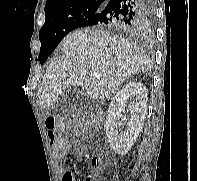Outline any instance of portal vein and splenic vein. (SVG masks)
Listing matches in <instances>:
<instances>
[{
	"mask_svg": "<svg viewBox=\"0 0 197 181\" xmlns=\"http://www.w3.org/2000/svg\"><path fill=\"white\" fill-rule=\"evenodd\" d=\"M82 74L83 75H90V76H92L93 78H95V77H99V74L98 73H90V72H87V71H84V72H82Z\"/></svg>",
	"mask_w": 197,
	"mask_h": 181,
	"instance_id": "18ae733b",
	"label": "portal vein and splenic vein"
}]
</instances>
